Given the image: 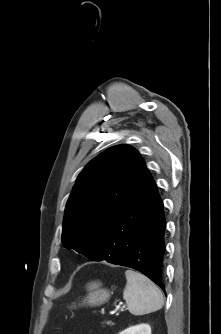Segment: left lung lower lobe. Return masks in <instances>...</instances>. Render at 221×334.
Instances as JSON below:
<instances>
[{
    "mask_svg": "<svg viewBox=\"0 0 221 334\" xmlns=\"http://www.w3.org/2000/svg\"><path fill=\"white\" fill-rule=\"evenodd\" d=\"M165 228L163 202L147 172L108 226L94 261L134 268L165 292Z\"/></svg>",
    "mask_w": 221,
    "mask_h": 334,
    "instance_id": "obj_1",
    "label": "left lung lower lobe"
}]
</instances>
